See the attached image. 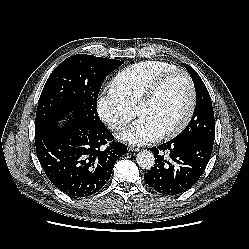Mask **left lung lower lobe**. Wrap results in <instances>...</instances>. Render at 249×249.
Returning <instances> with one entry per match:
<instances>
[{"label": "left lung lower lobe", "mask_w": 249, "mask_h": 249, "mask_svg": "<svg viewBox=\"0 0 249 249\" xmlns=\"http://www.w3.org/2000/svg\"><path fill=\"white\" fill-rule=\"evenodd\" d=\"M213 149V142L190 138H174L158 148H150L155 156L154 167L144 175L145 182L157 192L175 195L190 189L204 172ZM161 151H167L164 157Z\"/></svg>", "instance_id": "obj_1"}]
</instances>
